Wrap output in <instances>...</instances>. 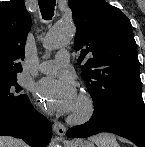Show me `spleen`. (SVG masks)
Masks as SVG:
<instances>
[{
  "instance_id": "3e777b00",
  "label": "spleen",
  "mask_w": 145,
  "mask_h": 147,
  "mask_svg": "<svg viewBox=\"0 0 145 147\" xmlns=\"http://www.w3.org/2000/svg\"><path fill=\"white\" fill-rule=\"evenodd\" d=\"M90 140L98 147H119L116 138L113 135L107 133L91 137Z\"/></svg>"
}]
</instances>
